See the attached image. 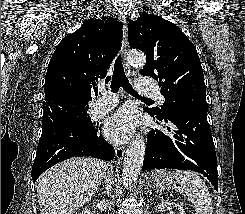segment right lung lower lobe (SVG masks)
Wrapping results in <instances>:
<instances>
[{
	"mask_svg": "<svg viewBox=\"0 0 245 214\" xmlns=\"http://www.w3.org/2000/svg\"><path fill=\"white\" fill-rule=\"evenodd\" d=\"M90 123L84 128H67L64 123L43 129L31 172L33 182L49 167L71 157L91 156L102 160L114 158L113 146Z\"/></svg>",
	"mask_w": 245,
	"mask_h": 214,
	"instance_id": "98d812e1",
	"label": "right lung lower lobe"
}]
</instances>
